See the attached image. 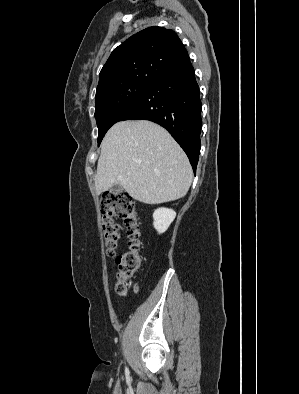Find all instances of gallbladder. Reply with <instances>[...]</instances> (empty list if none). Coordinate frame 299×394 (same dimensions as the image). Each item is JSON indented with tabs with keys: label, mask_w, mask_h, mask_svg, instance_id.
Masks as SVG:
<instances>
[{
	"label": "gallbladder",
	"mask_w": 299,
	"mask_h": 394,
	"mask_svg": "<svg viewBox=\"0 0 299 394\" xmlns=\"http://www.w3.org/2000/svg\"><path fill=\"white\" fill-rule=\"evenodd\" d=\"M111 189L113 192H121L123 190V187L120 184H116L113 185Z\"/></svg>",
	"instance_id": "gallbladder-1"
}]
</instances>
